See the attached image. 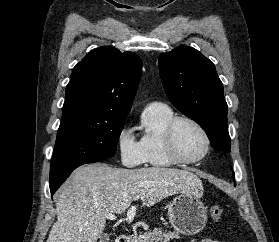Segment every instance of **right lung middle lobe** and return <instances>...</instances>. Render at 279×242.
Here are the masks:
<instances>
[{
  "label": "right lung middle lobe",
  "instance_id": "dd1d6c3e",
  "mask_svg": "<svg viewBox=\"0 0 279 242\" xmlns=\"http://www.w3.org/2000/svg\"><path fill=\"white\" fill-rule=\"evenodd\" d=\"M126 118L63 114L50 166V181L88 160L114 156Z\"/></svg>",
  "mask_w": 279,
  "mask_h": 242
}]
</instances>
